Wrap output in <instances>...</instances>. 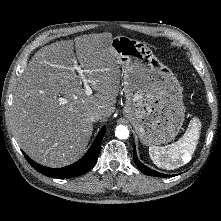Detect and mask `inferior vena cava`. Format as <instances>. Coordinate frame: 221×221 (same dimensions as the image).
Segmentation results:
<instances>
[{
  "instance_id": "obj_1",
  "label": "inferior vena cava",
  "mask_w": 221,
  "mask_h": 221,
  "mask_svg": "<svg viewBox=\"0 0 221 221\" xmlns=\"http://www.w3.org/2000/svg\"><path fill=\"white\" fill-rule=\"evenodd\" d=\"M101 118V113L99 111H92L89 113L88 115V119L91 121V122H96L98 120H100Z\"/></svg>"
}]
</instances>
